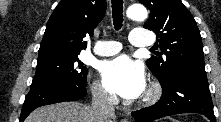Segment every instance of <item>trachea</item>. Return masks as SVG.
Returning a JSON list of instances; mask_svg holds the SVG:
<instances>
[{
  "label": "trachea",
  "instance_id": "3493384b",
  "mask_svg": "<svg viewBox=\"0 0 221 122\" xmlns=\"http://www.w3.org/2000/svg\"><path fill=\"white\" fill-rule=\"evenodd\" d=\"M112 17L116 30H120L123 23V0H112Z\"/></svg>",
  "mask_w": 221,
  "mask_h": 122
}]
</instances>
